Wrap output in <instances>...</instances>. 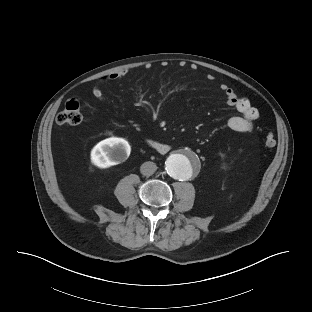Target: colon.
I'll list each match as a JSON object with an SVG mask.
<instances>
[{"label":"colon","mask_w":312,"mask_h":312,"mask_svg":"<svg viewBox=\"0 0 312 312\" xmlns=\"http://www.w3.org/2000/svg\"><path fill=\"white\" fill-rule=\"evenodd\" d=\"M82 121L80 104L71 99L66 102L64 109L56 116V122L61 125H78ZM265 146L272 148L276 145V139L272 132H267L264 137Z\"/></svg>","instance_id":"obj_1"}]
</instances>
